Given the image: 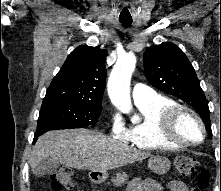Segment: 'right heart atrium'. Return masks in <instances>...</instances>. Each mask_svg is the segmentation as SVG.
<instances>
[{
  "label": "right heart atrium",
  "instance_id": "1",
  "mask_svg": "<svg viewBox=\"0 0 221 191\" xmlns=\"http://www.w3.org/2000/svg\"><path fill=\"white\" fill-rule=\"evenodd\" d=\"M110 133L115 139L125 140L127 137V128L118 113H112L110 120Z\"/></svg>",
  "mask_w": 221,
  "mask_h": 191
}]
</instances>
